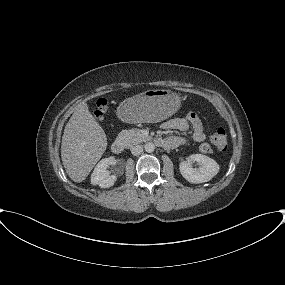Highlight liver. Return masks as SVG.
<instances>
[{"label": "liver", "mask_w": 285, "mask_h": 285, "mask_svg": "<svg viewBox=\"0 0 285 285\" xmlns=\"http://www.w3.org/2000/svg\"><path fill=\"white\" fill-rule=\"evenodd\" d=\"M107 147V137L83 102L77 105L65 126L61 158L69 177L77 183L86 179Z\"/></svg>", "instance_id": "obj_1"}]
</instances>
